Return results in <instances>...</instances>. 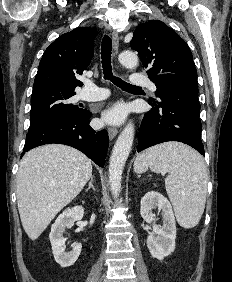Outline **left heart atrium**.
Listing matches in <instances>:
<instances>
[{"label":"left heart atrium","instance_id":"1","mask_svg":"<svg viewBox=\"0 0 232 282\" xmlns=\"http://www.w3.org/2000/svg\"><path fill=\"white\" fill-rule=\"evenodd\" d=\"M126 116V108L123 105H115L102 115V122L105 124H118Z\"/></svg>","mask_w":232,"mask_h":282}]
</instances>
